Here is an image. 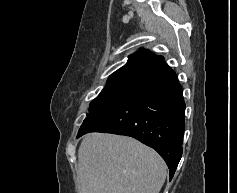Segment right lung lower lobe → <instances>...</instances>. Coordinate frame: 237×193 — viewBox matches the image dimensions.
Instances as JSON below:
<instances>
[{"instance_id":"obj_1","label":"right lung lower lobe","mask_w":237,"mask_h":193,"mask_svg":"<svg viewBox=\"0 0 237 193\" xmlns=\"http://www.w3.org/2000/svg\"><path fill=\"white\" fill-rule=\"evenodd\" d=\"M184 111L181 85L160 56L147 67L140 85L126 99L87 117L77 137L106 132L136 138L162 156L172 179L182 156Z\"/></svg>"}]
</instances>
